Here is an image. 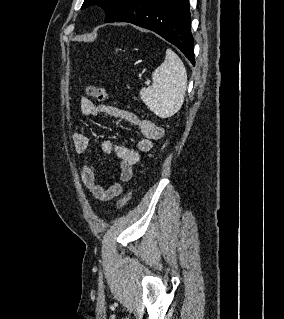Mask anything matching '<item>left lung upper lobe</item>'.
<instances>
[{
  "mask_svg": "<svg viewBox=\"0 0 284 319\" xmlns=\"http://www.w3.org/2000/svg\"><path fill=\"white\" fill-rule=\"evenodd\" d=\"M125 1L126 0H84L81 9H84L90 5L98 4L105 9V22H107L112 16H114L119 11V9L122 7Z\"/></svg>",
  "mask_w": 284,
  "mask_h": 319,
  "instance_id": "left-lung-upper-lobe-1",
  "label": "left lung upper lobe"
}]
</instances>
